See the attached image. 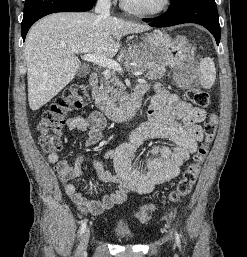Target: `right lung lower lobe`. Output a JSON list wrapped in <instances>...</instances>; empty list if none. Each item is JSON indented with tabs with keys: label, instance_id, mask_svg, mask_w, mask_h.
<instances>
[{
	"label": "right lung lower lobe",
	"instance_id": "98d812e1",
	"mask_svg": "<svg viewBox=\"0 0 247 257\" xmlns=\"http://www.w3.org/2000/svg\"><path fill=\"white\" fill-rule=\"evenodd\" d=\"M96 0H26L21 25L25 40L29 28L40 18L55 12H84L90 10Z\"/></svg>",
	"mask_w": 247,
	"mask_h": 257
}]
</instances>
